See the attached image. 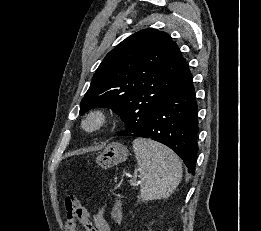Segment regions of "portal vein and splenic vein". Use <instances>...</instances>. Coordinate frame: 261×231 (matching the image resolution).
<instances>
[{
  "label": "portal vein and splenic vein",
  "instance_id": "obj_1",
  "mask_svg": "<svg viewBox=\"0 0 261 231\" xmlns=\"http://www.w3.org/2000/svg\"><path fill=\"white\" fill-rule=\"evenodd\" d=\"M139 182H137L136 183V181H133V180H131V184L133 185V184H138Z\"/></svg>",
  "mask_w": 261,
  "mask_h": 231
}]
</instances>
